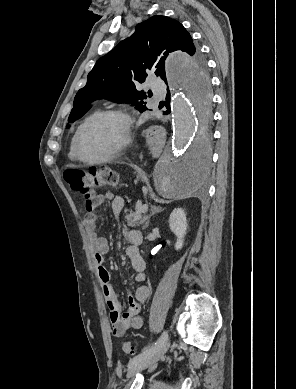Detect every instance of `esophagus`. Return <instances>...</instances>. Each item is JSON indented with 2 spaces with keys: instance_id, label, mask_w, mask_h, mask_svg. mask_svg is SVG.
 I'll use <instances>...</instances> for the list:
<instances>
[{
  "instance_id": "1",
  "label": "esophagus",
  "mask_w": 296,
  "mask_h": 389,
  "mask_svg": "<svg viewBox=\"0 0 296 389\" xmlns=\"http://www.w3.org/2000/svg\"><path fill=\"white\" fill-rule=\"evenodd\" d=\"M149 127H150V129L153 130V131H158V130H160L161 127H162V122H161V120L158 119V118H153V119H151L150 122H149Z\"/></svg>"
}]
</instances>
